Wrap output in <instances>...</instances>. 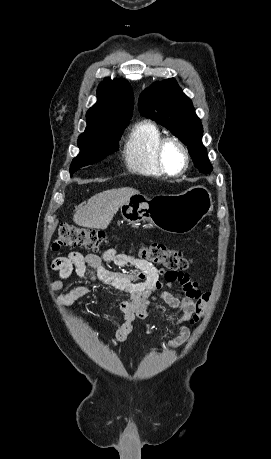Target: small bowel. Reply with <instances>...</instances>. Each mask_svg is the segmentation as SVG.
I'll use <instances>...</instances> for the list:
<instances>
[{"label":"small bowel","instance_id":"small-bowel-1","mask_svg":"<svg viewBox=\"0 0 271 459\" xmlns=\"http://www.w3.org/2000/svg\"><path fill=\"white\" fill-rule=\"evenodd\" d=\"M109 262L118 267L130 266L134 270L130 272L113 271L107 266ZM52 267L59 273L61 279H66L75 272L79 277L87 278L91 282V285L79 286L66 294H61L59 297L61 304H71L87 296L92 291V285L96 283L120 291L127 296L120 304L124 323L116 331L114 337L107 340V344L111 347L127 338L132 331V323L135 319L147 317L148 306L153 300H163L172 309L181 311L182 315L177 319V323L181 324L192 317L196 302L202 294L198 282L188 273L160 270L145 259L132 254L118 253L114 248L105 250L101 256L84 255L79 251H73L68 256L57 258ZM173 284L179 285L178 295L163 290L164 286ZM52 287L55 290H61L63 286L60 281H55ZM157 291L158 294H156ZM189 335V329L180 326L178 336L170 340L168 346L176 348L182 345Z\"/></svg>","mask_w":271,"mask_h":459}]
</instances>
